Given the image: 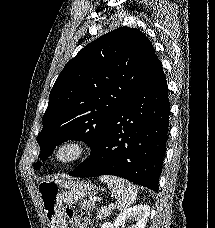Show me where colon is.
Returning <instances> with one entry per match:
<instances>
[{
	"label": "colon",
	"mask_w": 215,
	"mask_h": 228,
	"mask_svg": "<svg viewBox=\"0 0 215 228\" xmlns=\"http://www.w3.org/2000/svg\"><path fill=\"white\" fill-rule=\"evenodd\" d=\"M91 207L94 208L95 205L92 202L86 201L82 205V210L89 211ZM67 215L71 219L73 228H87L88 227L86 220L82 217L74 216V212L72 209H70V208L67 209Z\"/></svg>",
	"instance_id": "5ec220e1"
}]
</instances>
